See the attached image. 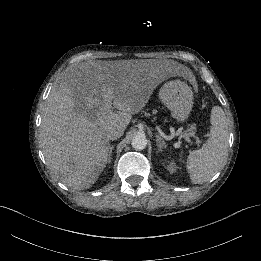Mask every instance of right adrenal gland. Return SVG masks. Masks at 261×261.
I'll return each mask as SVG.
<instances>
[{
    "instance_id": "right-adrenal-gland-1",
    "label": "right adrenal gland",
    "mask_w": 261,
    "mask_h": 261,
    "mask_svg": "<svg viewBox=\"0 0 261 261\" xmlns=\"http://www.w3.org/2000/svg\"><path fill=\"white\" fill-rule=\"evenodd\" d=\"M114 147L111 146L108 152V163L112 161V152H113Z\"/></svg>"
}]
</instances>
